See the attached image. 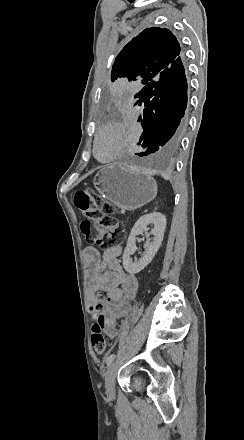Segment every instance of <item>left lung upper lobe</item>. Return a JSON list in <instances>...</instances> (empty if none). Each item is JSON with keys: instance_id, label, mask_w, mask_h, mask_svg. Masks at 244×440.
<instances>
[{"instance_id": "1", "label": "left lung upper lobe", "mask_w": 244, "mask_h": 440, "mask_svg": "<svg viewBox=\"0 0 244 440\" xmlns=\"http://www.w3.org/2000/svg\"><path fill=\"white\" fill-rule=\"evenodd\" d=\"M180 55V44L170 30L146 28L116 57L111 81L137 80L146 85L179 62Z\"/></svg>"}]
</instances>
